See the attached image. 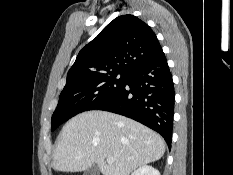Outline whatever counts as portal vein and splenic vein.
Listing matches in <instances>:
<instances>
[{
  "label": "portal vein and splenic vein",
  "mask_w": 233,
  "mask_h": 175,
  "mask_svg": "<svg viewBox=\"0 0 233 175\" xmlns=\"http://www.w3.org/2000/svg\"><path fill=\"white\" fill-rule=\"evenodd\" d=\"M114 162V159L113 158H107V163L108 164H112Z\"/></svg>",
  "instance_id": "portal-vein-and-splenic-vein-1"
}]
</instances>
